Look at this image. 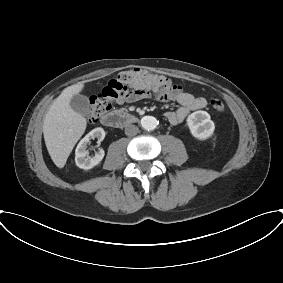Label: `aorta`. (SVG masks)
Instances as JSON below:
<instances>
[{"instance_id":"762f6f07","label":"aorta","mask_w":283,"mask_h":283,"mask_svg":"<svg viewBox=\"0 0 283 283\" xmlns=\"http://www.w3.org/2000/svg\"><path fill=\"white\" fill-rule=\"evenodd\" d=\"M158 125V121L153 116H144L141 119V126L148 131L154 130Z\"/></svg>"}]
</instances>
